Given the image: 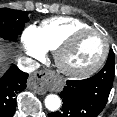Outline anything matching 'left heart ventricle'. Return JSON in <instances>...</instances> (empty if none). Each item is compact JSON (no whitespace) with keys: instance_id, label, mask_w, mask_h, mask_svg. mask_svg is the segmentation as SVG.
Returning a JSON list of instances; mask_svg holds the SVG:
<instances>
[{"instance_id":"left-heart-ventricle-1","label":"left heart ventricle","mask_w":117,"mask_h":117,"mask_svg":"<svg viewBox=\"0 0 117 117\" xmlns=\"http://www.w3.org/2000/svg\"><path fill=\"white\" fill-rule=\"evenodd\" d=\"M104 42L97 34H86L78 39L67 54L66 64L75 69H83L93 65L102 55Z\"/></svg>"}]
</instances>
